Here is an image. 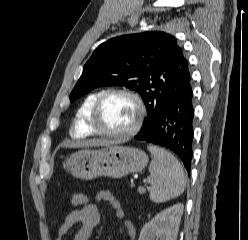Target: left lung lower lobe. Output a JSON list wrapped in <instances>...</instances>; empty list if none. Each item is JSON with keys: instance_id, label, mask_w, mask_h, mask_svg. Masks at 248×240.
<instances>
[{"instance_id": "left-lung-lower-lobe-1", "label": "left lung lower lobe", "mask_w": 248, "mask_h": 240, "mask_svg": "<svg viewBox=\"0 0 248 240\" xmlns=\"http://www.w3.org/2000/svg\"><path fill=\"white\" fill-rule=\"evenodd\" d=\"M194 106L191 85L172 96L152 121L135 136L137 140L175 152L190 173L193 156Z\"/></svg>"}]
</instances>
